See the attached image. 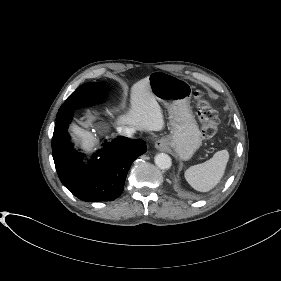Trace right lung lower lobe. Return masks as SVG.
<instances>
[{
	"label": "right lung lower lobe",
	"mask_w": 281,
	"mask_h": 281,
	"mask_svg": "<svg viewBox=\"0 0 281 281\" xmlns=\"http://www.w3.org/2000/svg\"><path fill=\"white\" fill-rule=\"evenodd\" d=\"M73 112L59 118L52 138V155L61 182L86 202L110 201L123 191L127 172L133 161L146 152V142L118 137L102 144L87 164L84 155L74 149L68 125Z\"/></svg>",
	"instance_id": "right-lung-lower-lobe-1"
}]
</instances>
